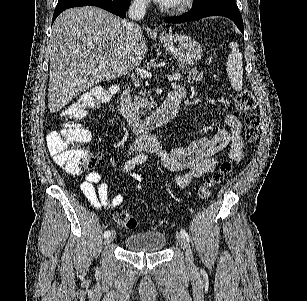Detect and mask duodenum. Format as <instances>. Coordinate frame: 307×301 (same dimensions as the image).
Listing matches in <instances>:
<instances>
[{
  "mask_svg": "<svg viewBox=\"0 0 307 301\" xmlns=\"http://www.w3.org/2000/svg\"><path fill=\"white\" fill-rule=\"evenodd\" d=\"M183 96L179 91H172L156 111L147 117H141L133 107L131 87L128 84L120 95V112L134 132L146 134L175 117Z\"/></svg>",
  "mask_w": 307,
  "mask_h": 301,
  "instance_id": "1",
  "label": "duodenum"
}]
</instances>
